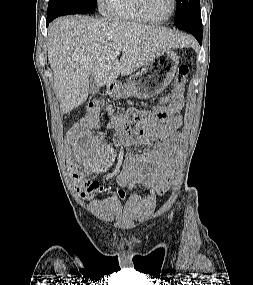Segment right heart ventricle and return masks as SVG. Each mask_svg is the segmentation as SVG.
Here are the masks:
<instances>
[{"instance_id":"obj_1","label":"right heart ventricle","mask_w":253,"mask_h":285,"mask_svg":"<svg viewBox=\"0 0 253 285\" xmlns=\"http://www.w3.org/2000/svg\"><path fill=\"white\" fill-rule=\"evenodd\" d=\"M104 6L107 14L117 20L149 22L140 10L139 0H104Z\"/></svg>"}]
</instances>
